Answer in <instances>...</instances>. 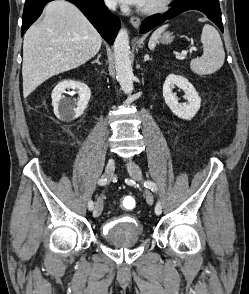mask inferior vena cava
Masks as SVG:
<instances>
[{
  "mask_svg": "<svg viewBox=\"0 0 249 294\" xmlns=\"http://www.w3.org/2000/svg\"><path fill=\"white\" fill-rule=\"evenodd\" d=\"M105 3L109 9H111V10L116 9V1L115 0H105Z\"/></svg>",
  "mask_w": 249,
  "mask_h": 294,
  "instance_id": "1",
  "label": "inferior vena cava"
}]
</instances>
